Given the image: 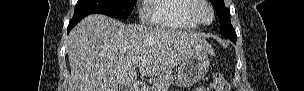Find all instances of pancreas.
<instances>
[{"label": "pancreas", "mask_w": 304, "mask_h": 91, "mask_svg": "<svg viewBox=\"0 0 304 91\" xmlns=\"http://www.w3.org/2000/svg\"><path fill=\"white\" fill-rule=\"evenodd\" d=\"M174 76L171 74H164L159 76L152 85V91H165L173 84Z\"/></svg>", "instance_id": "cf45deb5"}]
</instances>
